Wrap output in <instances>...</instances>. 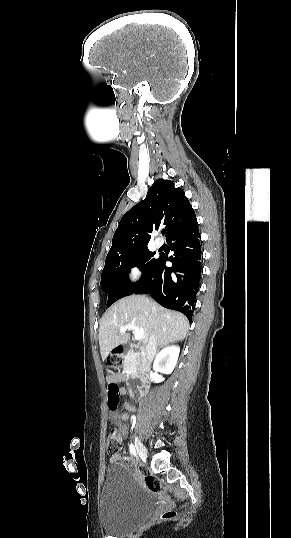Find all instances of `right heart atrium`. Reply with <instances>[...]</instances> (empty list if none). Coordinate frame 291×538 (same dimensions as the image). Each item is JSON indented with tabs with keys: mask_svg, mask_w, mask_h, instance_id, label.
I'll return each mask as SVG.
<instances>
[{
	"mask_svg": "<svg viewBox=\"0 0 291 538\" xmlns=\"http://www.w3.org/2000/svg\"><path fill=\"white\" fill-rule=\"evenodd\" d=\"M126 273L131 283H138L143 277V267L138 262L131 263L127 267Z\"/></svg>",
	"mask_w": 291,
	"mask_h": 538,
	"instance_id": "right-heart-atrium-1",
	"label": "right heart atrium"
}]
</instances>
